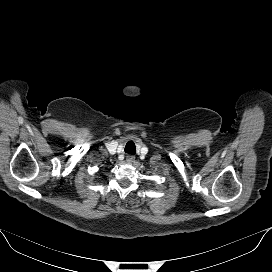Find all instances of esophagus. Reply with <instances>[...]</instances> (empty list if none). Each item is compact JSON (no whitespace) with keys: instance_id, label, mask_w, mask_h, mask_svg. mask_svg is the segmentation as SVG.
Returning a JSON list of instances; mask_svg holds the SVG:
<instances>
[{"instance_id":"1","label":"esophagus","mask_w":272,"mask_h":272,"mask_svg":"<svg viewBox=\"0 0 272 272\" xmlns=\"http://www.w3.org/2000/svg\"><path fill=\"white\" fill-rule=\"evenodd\" d=\"M134 159H135L134 155L129 154L126 156L127 163H132L134 161Z\"/></svg>"}]
</instances>
